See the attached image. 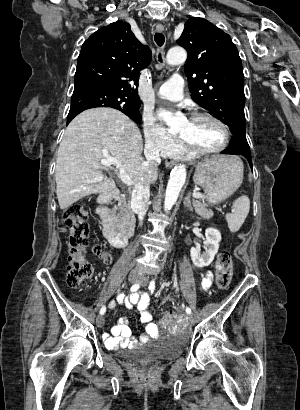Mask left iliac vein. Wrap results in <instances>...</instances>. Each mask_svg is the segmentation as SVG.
I'll list each match as a JSON object with an SVG mask.
<instances>
[{"instance_id":"left-iliac-vein-1","label":"left iliac vein","mask_w":300,"mask_h":410,"mask_svg":"<svg viewBox=\"0 0 300 410\" xmlns=\"http://www.w3.org/2000/svg\"><path fill=\"white\" fill-rule=\"evenodd\" d=\"M139 283L141 284V285H146L147 284V277L146 276H141L140 277V280H139ZM185 318H186V320L189 322V323H193V318H192V316H190V315H187V316H185Z\"/></svg>"}]
</instances>
